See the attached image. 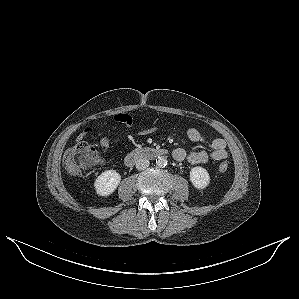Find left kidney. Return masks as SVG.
I'll use <instances>...</instances> for the list:
<instances>
[{"mask_svg":"<svg viewBox=\"0 0 299 299\" xmlns=\"http://www.w3.org/2000/svg\"><path fill=\"white\" fill-rule=\"evenodd\" d=\"M190 181L197 189H204L210 183V176L205 168L196 166L190 171Z\"/></svg>","mask_w":299,"mask_h":299,"instance_id":"1","label":"left kidney"}]
</instances>
